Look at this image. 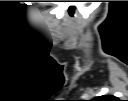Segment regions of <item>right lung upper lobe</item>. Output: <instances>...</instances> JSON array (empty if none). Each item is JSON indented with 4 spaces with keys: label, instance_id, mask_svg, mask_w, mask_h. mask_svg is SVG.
Listing matches in <instances>:
<instances>
[{
    "label": "right lung upper lobe",
    "instance_id": "1",
    "mask_svg": "<svg viewBox=\"0 0 128 101\" xmlns=\"http://www.w3.org/2000/svg\"><path fill=\"white\" fill-rule=\"evenodd\" d=\"M96 99H98L99 101H117L116 97L112 95H104L97 97Z\"/></svg>",
    "mask_w": 128,
    "mask_h": 101
}]
</instances>
